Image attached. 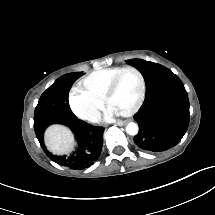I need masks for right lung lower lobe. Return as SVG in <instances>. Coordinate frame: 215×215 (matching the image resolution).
Wrapping results in <instances>:
<instances>
[{"mask_svg":"<svg viewBox=\"0 0 215 215\" xmlns=\"http://www.w3.org/2000/svg\"><path fill=\"white\" fill-rule=\"evenodd\" d=\"M68 126L75 134L78 142L77 149L69 156H57L50 153L44 145L45 129L51 124ZM34 129L40 145L46 155L55 163L68 166L74 170H82L92 165L100 156L103 144L104 128L94 127L75 118L50 117L34 121Z\"/></svg>","mask_w":215,"mask_h":215,"instance_id":"98d812e1","label":"right lung lower lobe"}]
</instances>
